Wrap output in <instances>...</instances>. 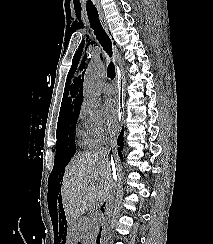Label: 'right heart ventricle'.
<instances>
[{"instance_id":"1","label":"right heart ventricle","mask_w":213,"mask_h":244,"mask_svg":"<svg viewBox=\"0 0 213 244\" xmlns=\"http://www.w3.org/2000/svg\"><path fill=\"white\" fill-rule=\"evenodd\" d=\"M79 135L83 136V133H79Z\"/></svg>"}]
</instances>
